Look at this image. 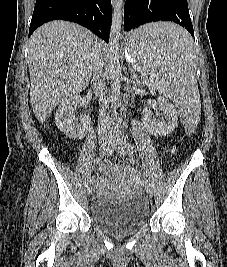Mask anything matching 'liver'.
I'll use <instances>...</instances> for the list:
<instances>
[{
    "instance_id": "liver-1",
    "label": "liver",
    "mask_w": 227,
    "mask_h": 267,
    "mask_svg": "<svg viewBox=\"0 0 227 267\" xmlns=\"http://www.w3.org/2000/svg\"><path fill=\"white\" fill-rule=\"evenodd\" d=\"M102 42L89 30L67 21L39 27L29 41L30 102L40 123L65 99L87 87Z\"/></svg>"
}]
</instances>
